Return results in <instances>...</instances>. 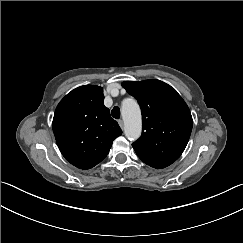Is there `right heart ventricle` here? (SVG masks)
Wrapping results in <instances>:
<instances>
[{
	"instance_id": "right-heart-ventricle-1",
	"label": "right heart ventricle",
	"mask_w": 243,
	"mask_h": 243,
	"mask_svg": "<svg viewBox=\"0 0 243 243\" xmlns=\"http://www.w3.org/2000/svg\"><path fill=\"white\" fill-rule=\"evenodd\" d=\"M130 102H132V99H127V100L125 101V103H130Z\"/></svg>"
}]
</instances>
